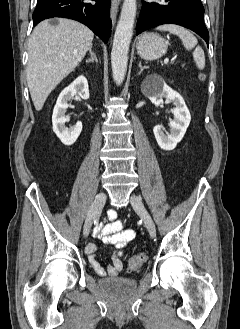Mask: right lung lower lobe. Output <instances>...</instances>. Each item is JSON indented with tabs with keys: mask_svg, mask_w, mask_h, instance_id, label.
<instances>
[{
	"mask_svg": "<svg viewBox=\"0 0 240 329\" xmlns=\"http://www.w3.org/2000/svg\"><path fill=\"white\" fill-rule=\"evenodd\" d=\"M92 5L84 0H37L32 15L33 25L53 17H64L79 21L88 26L105 43L111 34L110 1L95 0Z\"/></svg>",
	"mask_w": 240,
	"mask_h": 329,
	"instance_id": "right-lung-lower-lobe-1",
	"label": "right lung lower lobe"
}]
</instances>
